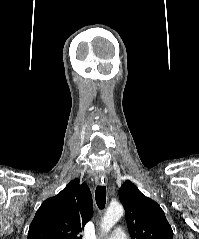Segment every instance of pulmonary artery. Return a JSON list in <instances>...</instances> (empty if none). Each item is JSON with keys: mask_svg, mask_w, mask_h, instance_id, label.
I'll return each mask as SVG.
<instances>
[{"mask_svg": "<svg viewBox=\"0 0 199 239\" xmlns=\"http://www.w3.org/2000/svg\"><path fill=\"white\" fill-rule=\"evenodd\" d=\"M107 239H128L126 233L122 229H116Z\"/></svg>", "mask_w": 199, "mask_h": 239, "instance_id": "1", "label": "pulmonary artery"}]
</instances>
